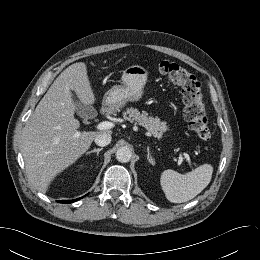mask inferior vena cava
<instances>
[{
    "instance_id": "inferior-vena-cava-1",
    "label": "inferior vena cava",
    "mask_w": 260,
    "mask_h": 260,
    "mask_svg": "<svg viewBox=\"0 0 260 260\" xmlns=\"http://www.w3.org/2000/svg\"><path fill=\"white\" fill-rule=\"evenodd\" d=\"M111 135L107 132H102V133H99L94 141L95 143L98 145V146H101V147H104V146H107L108 144H110L111 142Z\"/></svg>"
}]
</instances>
